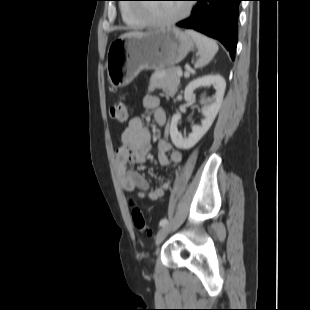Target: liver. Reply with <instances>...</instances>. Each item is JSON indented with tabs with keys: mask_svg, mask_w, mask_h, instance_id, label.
<instances>
[{
	"mask_svg": "<svg viewBox=\"0 0 310 310\" xmlns=\"http://www.w3.org/2000/svg\"><path fill=\"white\" fill-rule=\"evenodd\" d=\"M146 33H142V32H128L123 34L120 37H132V36H141V35H145Z\"/></svg>",
	"mask_w": 310,
	"mask_h": 310,
	"instance_id": "liver-1",
	"label": "liver"
}]
</instances>
